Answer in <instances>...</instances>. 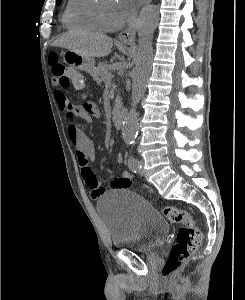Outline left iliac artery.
Instances as JSON below:
<instances>
[{
  "mask_svg": "<svg viewBox=\"0 0 245 300\" xmlns=\"http://www.w3.org/2000/svg\"><path fill=\"white\" fill-rule=\"evenodd\" d=\"M128 165H129V168L135 173H137L141 170V165L139 164V161L133 156L129 157Z\"/></svg>",
  "mask_w": 245,
  "mask_h": 300,
  "instance_id": "1",
  "label": "left iliac artery"
}]
</instances>
